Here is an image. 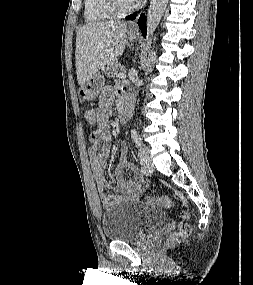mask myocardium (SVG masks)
I'll use <instances>...</instances> for the list:
<instances>
[{"instance_id":"1","label":"myocardium","mask_w":253,"mask_h":285,"mask_svg":"<svg viewBox=\"0 0 253 285\" xmlns=\"http://www.w3.org/2000/svg\"><path fill=\"white\" fill-rule=\"evenodd\" d=\"M108 7L111 9V11L116 16H123L126 15L132 11H134L137 8V3L134 2L130 6H124L121 3V0H106Z\"/></svg>"}]
</instances>
